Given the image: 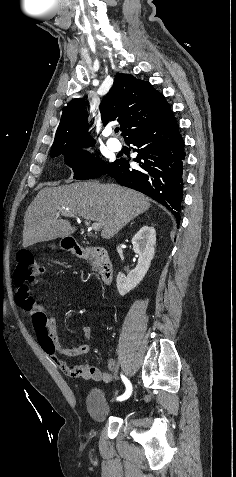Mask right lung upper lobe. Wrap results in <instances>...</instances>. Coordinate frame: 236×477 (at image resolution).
I'll return each mask as SVG.
<instances>
[{"label": "right lung upper lobe", "instance_id": "right-lung-upper-lobe-1", "mask_svg": "<svg viewBox=\"0 0 236 477\" xmlns=\"http://www.w3.org/2000/svg\"><path fill=\"white\" fill-rule=\"evenodd\" d=\"M100 112L104 125L119 116L125 140L137 131L157 125L171 113L162 94L149 82L121 73L116 74L112 89L103 98ZM87 124L84 100L73 99L62 113L51 152L73 151L92 145L95 141L88 134Z\"/></svg>", "mask_w": 236, "mask_h": 477}]
</instances>
